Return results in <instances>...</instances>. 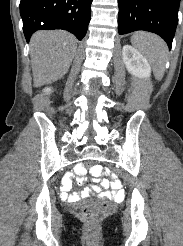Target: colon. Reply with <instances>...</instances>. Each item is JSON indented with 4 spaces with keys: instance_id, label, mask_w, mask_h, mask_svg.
Segmentation results:
<instances>
[{
    "instance_id": "5ec220e1",
    "label": "colon",
    "mask_w": 183,
    "mask_h": 246,
    "mask_svg": "<svg viewBox=\"0 0 183 246\" xmlns=\"http://www.w3.org/2000/svg\"><path fill=\"white\" fill-rule=\"evenodd\" d=\"M84 167H99L96 166V162H90L86 160ZM81 217L88 223H94L98 218V212L92 205H85L80 212Z\"/></svg>"
}]
</instances>
